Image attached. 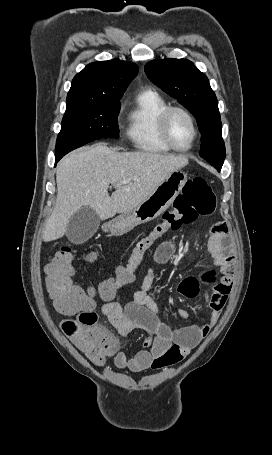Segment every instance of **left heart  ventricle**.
Instances as JSON below:
<instances>
[{
    "label": "left heart ventricle",
    "mask_w": 272,
    "mask_h": 455,
    "mask_svg": "<svg viewBox=\"0 0 272 455\" xmlns=\"http://www.w3.org/2000/svg\"><path fill=\"white\" fill-rule=\"evenodd\" d=\"M169 133L172 141L179 147H187L193 137V130L189 120L180 112H174L171 115Z\"/></svg>",
    "instance_id": "obj_1"
}]
</instances>
